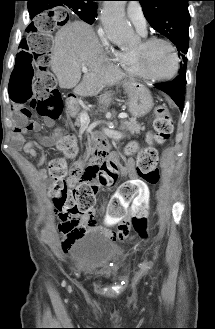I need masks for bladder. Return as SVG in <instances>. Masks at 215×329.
Listing matches in <instances>:
<instances>
[{
    "label": "bladder",
    "mask_w": 215,
    "mask_h": 329,
    "mask_svg": "<svg viewBox=\"0 0 215 329\" xmlns=\"http://www.w3.org/2000/svg\"><path fill=\"white\" fill-rule=\"evenodd\" d=\"M72 253L77 267L86 275L104 280L113 279L125 258L118 243L99 232H88L75 241Z\"/></svg>",
    "instance_id": "obj_1"
}]
</instances>
